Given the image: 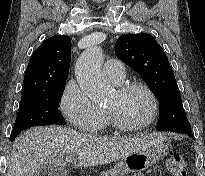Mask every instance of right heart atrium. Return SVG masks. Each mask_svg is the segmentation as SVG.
<instances>
[{
	"label": "right heart atrium",
	"instance_id": "1",
	"mask_svg": "<svg viewBox=\"0 0 205 176\" xmlns=\"http://www.w3.org/2000/svg\"><path fill=\"white\" fill-rule=\"evenodd\" d=\"M60 110L68 122L82 131H89L101 125L105 119V112L75 81L66 84L60 100Z\"/></svg>",
	"mask_w": 205,
	"mask_h": 176
}]
</instances>
